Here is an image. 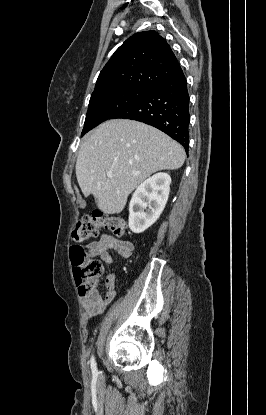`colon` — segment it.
Wrapping results in <instances>:
<instances>
[{
    "label": "colon",
    "mask_w": 266,
    "mask_h": 415,
    "mask_svg": "<svg viewBox=\"0 0 266 415\" xmlns=\"http://www.w3.org/2000/svg\"><path fill=\"white\" fill-rule=\"evenodd\" d=\"M101 228L109 229L117 236H123L126 231V223L121 218L95 211L91 215L83 216L72 233L76 243L71 247L70 257L75 280L82 292L97 289L98 281L103 274V266L98 259L88 253L80 242L96 237Z\"/></svg>",
    "instance_id": "5ec220e1"
}]
</instances>
